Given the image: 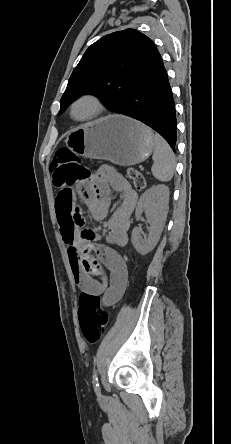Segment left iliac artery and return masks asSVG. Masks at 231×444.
<instances>
[{"label":"left iliac artery","mask_w":231,"mask_h":444,"mask_svg":"<svg viewBox=\"0 0 231 444\" xmlns=\"http://www.w3.org/2000/svg\"><path fill=\"white\" fill-rule=\"evenodd\" d=\"M93 387L96 393H100V386H99V381H98V377H97V372L95 371L93 374Z\"/></svg>","instance_id":"left-iliac-artery-1"}]
</instances>
